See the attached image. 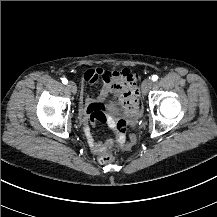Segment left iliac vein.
Returning <instances> with one entry per match:
<instances>
[{"instance_id": "1", "label": "left iliac vein", "mask_w": 217, "mask_h": 217, "mask_svg": "<svg viewBox=\"0 0 217 217\" xmlns=\"http://www.w3.org/2000/svg\"><path fill=\"white\" fill-rule=\"evenodd\" d=\"M153 82L151 79H145L142 83V87H141V93L142 95L147 94V92L150 90V88L152 87Z\"/></svg>"}]
</instances>
